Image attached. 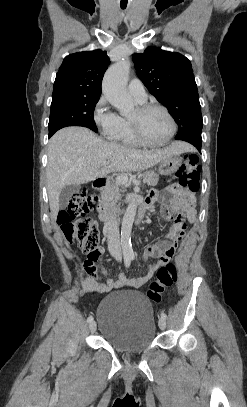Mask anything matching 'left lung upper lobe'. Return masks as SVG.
Returning <instances> with one entry per match:
<instances>
[{
    "label": "left lung upper lobe",
    "mask_w": 247,
    "mask_h": 407,
    "mask_svg": "<svg viewBox=\"0 0 247 407\" xmlns=\"http://www.w3.org/2000/svg\"><path fill=\"white\" fill-rule=\"evenodd\" d=\"M132 59L138 77L178 124L176 137L201 132V107L190 61L179 53L156 47H148Z\"/></svg>",
    "instance_id": "1"
}]
</instances>
